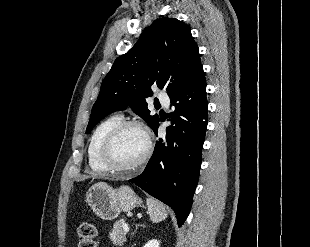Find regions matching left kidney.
Segmentation results:
<instances>
[{"instance_id":"1","label":"left kidney","mask_w":310,"mask_h":247,"mask_svg":"<svg viewBox=\"0 0 310 247\" xmlns=\"http://www.w3.org/2000/svg\"><path fill=\"white\" fill-rule=\"evenodd\" d=\"M160 242L158 240H150L148 241L144 247H159Z\"/></svg>"}]
</instances>
